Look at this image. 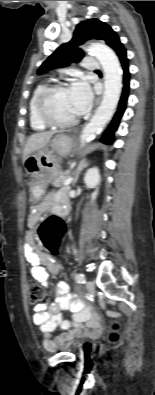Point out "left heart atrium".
Instances as JSON below:
<instances>
[{"label": "left heart atrium", "instance_id": "39dd6f15", "mask_svg": "<svg viewBox=\"0 0 155 395\" xmlns=\"http://www.w3.org/2000/svg\"><path fill=\"white\" fill-rule=\"evenodd\" d=\"M70 97L77 115L84 114L89 110L92 93L86 81L82 79L75 81L70 87Z\"/></svg>", "mask_w": 155, "mask_h": 395}]
</instances>
